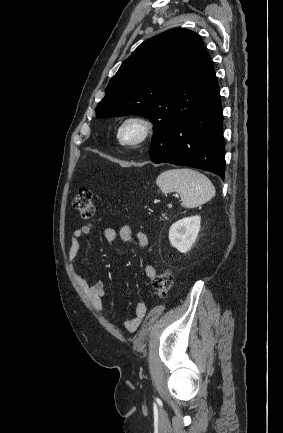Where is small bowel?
<instances>
[{
  "label": "small bowel",
  "instance_id": "obj_1",
  "mask_svg": "<svg viewBox=\"0 0 283 433\" xmlns=\"http://www.w3.org/2000/svg\"><path fill=\"white\" fill-rule=\"evenodd\" d=\"M94 228L92 223H87L76 229L70 239V247L68 251V260L70 263L71 270L73 272L74 279L80 289L85 293V295L90 299L96 310H103V299L105 296V285L102 281H97L95 283H89L85 278H83L77 270L76 257L80 250L81 238L83 236L89 235ZM104 238L109 245H116L119 241L128 244H137L138 247L144 248L148 245L147 235L139 231L136 236H133V230L130 225H124L120 229L119 233L108 228L104 230ZM145 274L148 278H154L156 275V270L153 265H147L145 267ZM147 311V306L145 303L140 302L135 307V316L127 319L124 323L126 330L133 332L137 330L140 326Z\"/></svg>",
  "mask_w": 283,
  "mask_h": 433
}]
</instances>
